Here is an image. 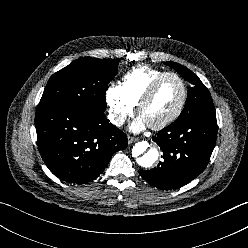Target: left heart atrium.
Instances as JSON below:
<instances>
[{
    "instance_id": "39dd6f15",
    "label": "left heart atrium",
    "mask_w": 248,
    "mask_h": 248,
    "mask_svg": "<svg viewBox=\"0 0 248 248\" xmlns=\"http://www.w3.org/2000/svg\"><path fill=\"white\" fill-rule=\"evenodd\" d=\"M148 125L147 121L142 117H138L130 126L131 131L140 132Z\"/></svg>"
}]
</instances>
